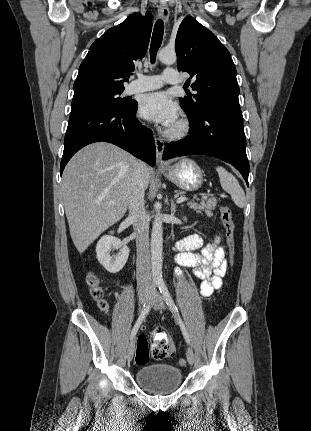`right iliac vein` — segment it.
<instances>
[{"mask_svg":"<svg viewBox=\"0 0 311 431\" xmlns=\"http://www.w3.org/2000/svg\"><path fill=\"white\" fill-rule=\"evenodd\" d=\"M149 294L148 292H141L139 294V301L141 304H145L148 300ZM134 351H135V343L134 341H131V343L129 344L128 350H127V361L130 362L133 358L134 355Z\"/></svg>","mask_w":311,"mask_h":431,"instance_id":"right-iliac-vein-1","label":"right iliac vein"}]
</instances>
